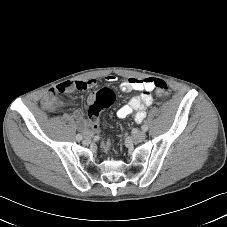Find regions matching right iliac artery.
I'll return each instance as SVG.
<instances>
[{
    "label": "right iliac artery",
    "instance_id": "82829eb1",
    "mask_svg": "<svg viewBox=\"0 0 227 227\" xmlns=\"http://www.w3.org/2000/svg\"><path fill=\"white\" fill-rule=\"evenodd\" d=\"M76 140L77 141H81L82 140V135L81 134H77L76 135Z\"/></svg>",
    "mask_w": 227,
    "mask_h": 227
}]
</instances>
